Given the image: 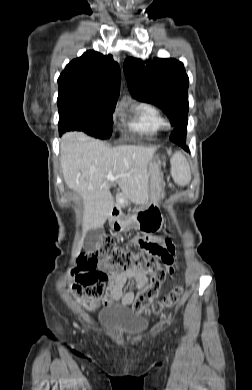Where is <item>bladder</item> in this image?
<instances>
[{
	"label": "bladder",
	"mask_w": 252,
	"mask_h": 390,
	"mask_svg": "<svg viewBox=\"0 0 252 390\" xmlns=\"http://www.w3.org/2000/svg\"><path fill=\"white\" fill-rule=\"evenodd\" d=\"M100 325L106 334L114 338L138 336L147 326L145 321L121 311H108L102 314Z\"/></svg>",
	"instance_id": "obj_1"
}]
</instances>
